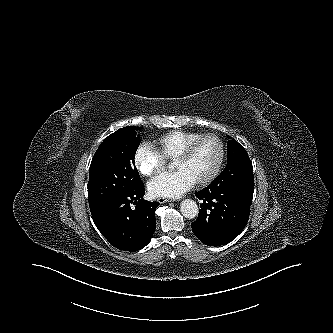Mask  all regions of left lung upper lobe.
Instances as JSON below:
<instances>
[{"label": "left lung upper lobe", "mask_w": 333, "mask_h": 333, "mask_svg": "<svg viewBox=\"0 0 333 333\" xmlns=\"http://www.w3.org/2000/svg\"><path fill=\"white\" fill-rule=\"evenodd\" d=\"M227 146L228 163L223 172L217 178L221 179L228 177L229 182H231V185L235 189L253 196V167L248 153L235 139L229 140Z\"/></svg>", "instance_id": "5c2ea615"}]
</instances>
